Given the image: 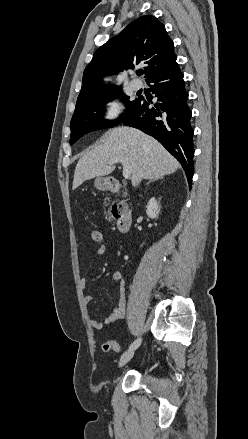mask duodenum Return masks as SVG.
I'll list each match as a JSON object with an SVG mask.
<instances>
[{"label":"duodenum","mask_w":248,"mask_h":439,"mask_svg":"<svg viewBox=\"0 0 248 439\" xmlns=\"http://www.w3.org/2000/svg\"><path fill=\"white\" fill-rule=\"evenodd\" d=\"M107 189L112 193H121L122 185L118 180H110ZM113 217L116 220V226L119 232L125 233L129 230L132 224V215L126 205L116 203L112 208Z\"/></svg>","instance_id":"duodenum-1"}]
</instances>
